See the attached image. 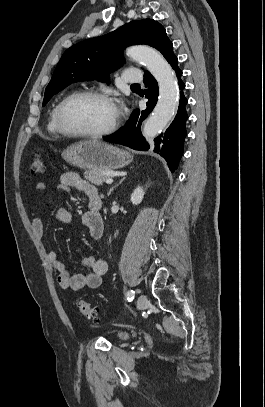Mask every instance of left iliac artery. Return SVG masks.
Segmentation results:
<instances>
[{"mask_svg": "<svg viewBox=\"0 0 265 407\" xmlns=\"http://www.w3.org/2000/svg\"><path fill=\"white\" fill-rule=\"evenodd\" d=\"M134 294H135V292H134L133 290H129V291L127 292V295H126L127 300H128V301H132V300L134 299Z\"/></svg>", "mask_w": 265, "mask_h": 407, "instance_id": "1", "label": "left iliac artery"}]
</instances>
